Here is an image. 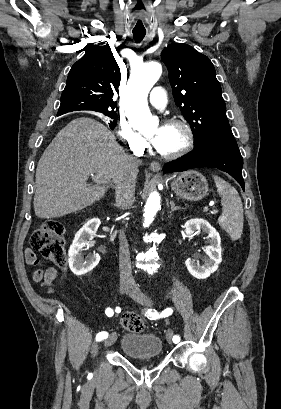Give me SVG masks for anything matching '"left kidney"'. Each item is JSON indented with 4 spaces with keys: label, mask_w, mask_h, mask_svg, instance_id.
I'll list each match as a JSON object with an SVG mask.
<instances>
[{
    "label": "left kidney",
    "mask_w": 281,
    "mask_h": 409,
    "mask_svg": "<svg viewBox=\"0 0 281 409\" xmlns=\"http://www.w3.org/2000/svg\"><path fill=\"white\" fill-rule=\"evenodd\" d=\"M184 229L186 237H190V235H193L195 231H200V229H202L203 233H208V237H210V245L206 247L208 259H205L202 267L195 263V261H192V259L185 261L190 275H193L196 279H207L211 273L217 271L218 265L222 263L220 235L205 219H189V221H186Z\"/></svg>",
    "instance_id": "left-kidney-1"
}]
</instances>
